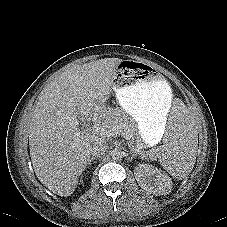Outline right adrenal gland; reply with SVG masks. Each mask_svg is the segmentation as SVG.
<instances>
[{
    "mask_svg": "<svg viewBox=\"0 0 227 227\" xmlns=\"http://www.w3.org/2000/svg\"><path fill=\"white\" fill-rule=\"evenodd\" d=\"M97 159L96 157H91L88 161V164L90 165L93 160Z\"/></svg>",
    "mask_w": 227,
    "mask_h": 227,
    "instance_id": "right-adrenal-gland-1",
    "label": "right adrenal gland"
}]
</instances>
